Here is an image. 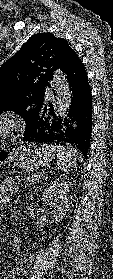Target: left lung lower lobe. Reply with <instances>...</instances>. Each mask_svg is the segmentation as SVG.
<instances>
[{
    "mask_svg": "<svg viewBox=\"0 0 113 279\" xmlns=\"http://www.w3.org/2000/svg\"><path fill=\"white\" fill-rule=\"evenodd\" d=\"M72 93L71 105L64 117L58 116L52 103L44 97L36 109L33 125L23 141L29 143L68 144L87 158L92 130V96L82 61L73 51L61 67ZM50 87V86H49Z\"/></svg>",
    "mask_w": 113,
    "mask_h": 279,
    "instance_id": "left-lung-lower-lobe-1",
    "label": "left lung lower lobe"
}]
</instances>
